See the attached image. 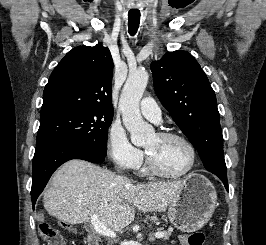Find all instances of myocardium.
Returning a JSON list of instances; mask_svg holds the SVG:
<instances>
[{
  "label": "myocardium",
  "mask_w": 266,
  "mask_h": 245,
  "mask_svg": "<svg viewBox=\"0 0 266 245\" xmlns=\"http://www.w3.org/2000/svg\"><path fill=\"white\" fill-rule=\"evenodd\" d=\"M157 135L162 137V138H165V139H177V140L182 141L187 146V148L189 149L190 163H189L187 169L183 173L178 174V175H169V174H165V173L159 171L147 153L146 154V165H147L148 171L153 176H155L157 178L169 179V180H180V179H183L186 176H188L192 172V170L194 169L195 164H196V160H197L196 149H195L194 145L192 144V142L188 138H186L185 136L178 134V133H174V132L163 131V132L157 133Z\"/></svg>",
  "instance_id": "myocardium-1"
}]
</instances>
